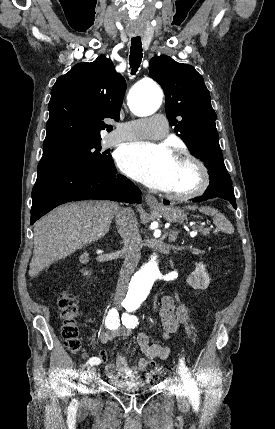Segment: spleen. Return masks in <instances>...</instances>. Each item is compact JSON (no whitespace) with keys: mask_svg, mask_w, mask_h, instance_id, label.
Returning <instances> with one entry per match:
<instances>
[{"mask_svg":"<svg viewBox=\"0 0 275 429\" xmlns=\"http://www.w3.org/2000/svg\"><path fill=\"white\" fill-rule=\"evenodd\" d=\"M187 209L189 210H196L199 209V211L205 215H210L213 217L214 224L223 232L227 234H233L234 233V227L231 224V222L217 209L203 206V207H196V206H188Z\"/></svg>","mask_w":275,"mask_h":429,"instance_id":"obj_1","label":"spleen"}]
</instances>
